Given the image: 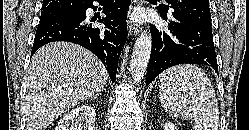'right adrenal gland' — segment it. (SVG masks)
I'll list each match as a JSON object with an SVG mask.
<instances>
[{
    "label": "right adrenal gland",
    "mask_w": 249,
    "mask_h": 130,
    "mask_svg": "<svg viewBox=\"0 0 249 130\" xmlns=\"http://www.w3.org/2000/svg\"><path fill=\"white\" fill-rule=\"evenodd\" d=\"M104 89L100 90L95 96H94V99H97V96H99L102 92H103Z\"/></svg>",
    "instance_id": "2a0ac1e0"
}]
</instances>
